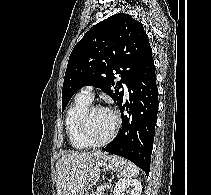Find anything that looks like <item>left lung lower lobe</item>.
Here are the masks:
<instances>
[{"mask_svg":"<svg viewBox=\"0 0 211 195\" xmlns=\"http://www.w3.org/2000/svg\"><path fill=\"white\" fill-rule=\"evenodd\" d=\"M129 100L118 106L122 129L103 151L132 161L149 174L158 111V89L153 59L149 60L128 87ZM127 111L124 115L123 112Z\"/></svg>","mask_w":211,"mask_h":195,"instance_id":"obj_1","label":"left lung lower lobe"}]
</instances>
